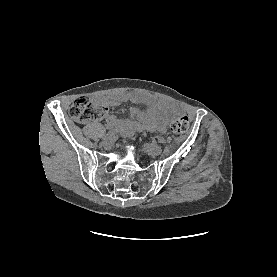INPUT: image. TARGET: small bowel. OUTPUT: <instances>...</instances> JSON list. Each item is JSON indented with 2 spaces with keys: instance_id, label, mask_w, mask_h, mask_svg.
<instances>
[{
  "instance_id": "small-bowel-1",
  "label": "small bowel",
  "mask_w": 277,
  "mask_h": 277,
  "mask_svg": "<svg viewBox=\"0 0 277 277\" xmlns=\"http://www.w3.org/2000/svg\"><path fill=\"white\" fill-rule=\"evenodd\" d=\"M98 101L105 106H117L125 101L146 103V110H141L137 107L130 108L131 120L129 125L131 128H139L142 126L150 131L164 130L168 124L170 113L174 111V107L167 101L135 92L114 93L100 97ZM105 124L108 128L121 129L125 122L108 113L105 117Z\"/></svg>"
}]
</instances>
